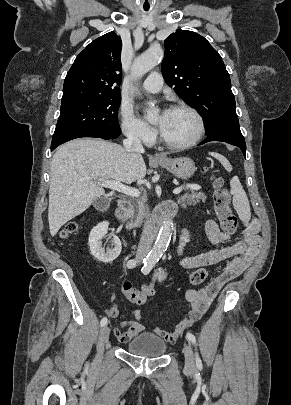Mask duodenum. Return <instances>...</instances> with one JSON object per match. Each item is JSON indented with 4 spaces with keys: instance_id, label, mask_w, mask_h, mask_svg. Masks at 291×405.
Wrapping results in <instances>:
<instances>
[{
    "instance_id": "1",
    "label": "duodenum",
    "mask_w": 291,
    "mask_h": 405,
    "mask_svg": "<svg viewBox=\"0 0 291 405\" xmlns=\"http://www.w3.org/2000/svg\"><path fill=\"white\" fill-rule=\"evenodd\" d=\"M131 202L127 199H123L119 202L118 207L115 212V216L120 224L123 225L124 229L129 230V225L127 224V218L131 211ZM175 214V209L169 205H164L160 208L158 212V225H160L164 220L173 217Z\"/></svg>"
}]
</instances>
